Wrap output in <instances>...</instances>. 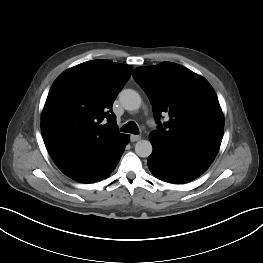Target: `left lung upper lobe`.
I'll use <instances>...</instances> for the list:
<instances>
[{
  "instance_id": "1",
  "label": "left lung upper lobe",
  "mask_w": 263,
  "mask_h": 263,
  "mask_svg": "<svg viewBox=\"0 0 263 263\" xmlns=\"http://www.w3.org/2000/svg\"><path fill=\"white\" fill-rule=\"evenodd\" d=\"M136 82L148 95L155 119H171L158 130L173 139H193L220 147L224 118L217 95L206 79L172 62L138 67Z\"/></svg>"
}]
</instances>
